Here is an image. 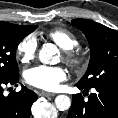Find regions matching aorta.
Returning a JSON list of instances; mask_svg holds the SVG:
<instances>
[{
    "label": "aorta",
    "instance_id": "762f6f07",
    "mask_svg": "<svg viewBox=\"0 0 118 118\" xmlns=\"http://www.w3.org/2000/svg\"><path fill=\"white\" fill-rule=\"evenodd\" d=\"M57 48L53 44H45L39 51V60L43 64H52L53 56L56 54ZM55 105L58 110L65 111L71 106V100L67 95H58L55 98Z\"/></svg>",
    "mask_w": 118,
    "mask_h": 118
}]
</instances>
